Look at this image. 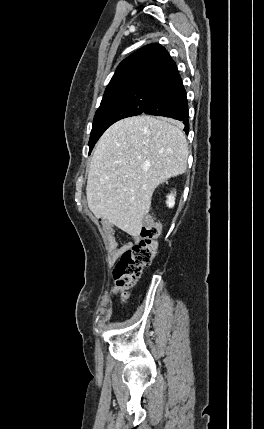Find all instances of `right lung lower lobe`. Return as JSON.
Returning <instances> with one entry per match:
<instances>
[{
    "label": "right lung lower lobe",
    "instance_id": "obj_1",
    "mask_svg": "<svg viewBox=\"0 0 264 429\" xmlns=\"http://www.w3.org/2000/svg\"><path fill=\"white\" fill-rule=\"evenodd\" d=\"M143 113L182 121L184 131L188 134L189 121L186 91L178 72L160 87L158 93Z\"/></svg>",
    "mask_w": 264,
    "mask_h": 429
}]
</instances>
